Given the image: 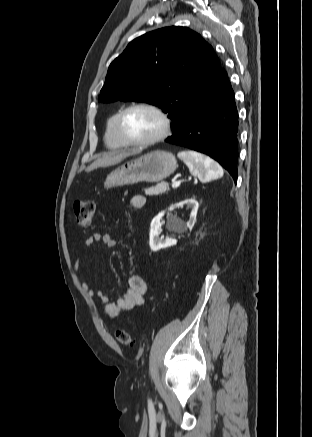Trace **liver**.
<instances>
[{"mask_svg":"<svg viewBox=\"0 0 312 437\" xmlns=\"http://www.w3.org/2000/svg\"><path fill=\"white\" fill-rule=\"evenodd\" d=\"M140 152V149L110 152L102 157L97 158L92 164L87 167L86 171L90 172L100 167H108L118 164L125 158L136 155Z\"/></svg>","mask_w":312,"mask_h":437,"instance_id":"6515ba94","label":"liver"}]
</instances>
